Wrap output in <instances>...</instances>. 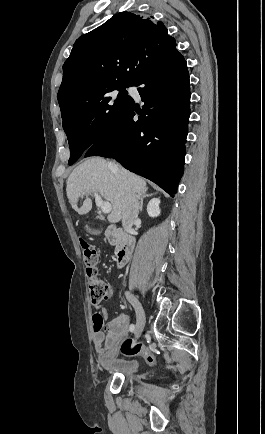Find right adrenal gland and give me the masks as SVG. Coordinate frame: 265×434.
<instances>
[{
  "label": "right adrenal gland",
  "mask_w": 265,
  "mask_h": 434,
  "mask_svg": "<svg viewBox=\"0 0 265 434\" xmlns=\"http://www.w3.org/2000/svg\"><path fill=\"white\" fill-rule=\"evenodd\" d=\"M147 196H153V194H143V196H139V200H140L139 210H140V212H142L144 198H147Z\"/></svg>",
  "instance_id": "1"
}]
</instances>
